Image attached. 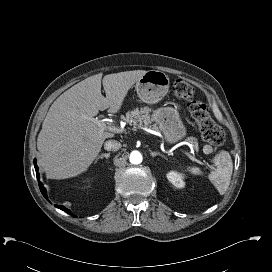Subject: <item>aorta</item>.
Returning <instances> with one entry per match:
<instances>
[{
	"label": "aorta",
	"instance_id": "obj_1",
	"mask_svg": "<svg viewBox=\"0 0 272 272\" xmlns=\"http://www.w3.org/2000/svg\"><path fill=\"white\" fill-rule=\"evenodd\" d=\"M129 160L132 164H140L143 160L142 155L139 151H132L130 153Z\"/></svg>",
	"mask_w": 272,
	"mask_h": 272
}]
</instances>
